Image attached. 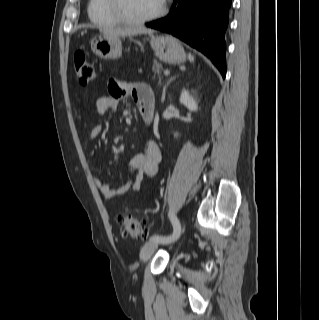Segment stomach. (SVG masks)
Listing matches in <instances>:
<instances>
[{
  "label": "stomach",
  "mask_w": 319,
  "mask_h": 320,
  "mask_svg": "<svg viewBox=\"0 0 319 320\" xmlns=\"http://www.w3.org/2000/svg\"><path fill=\"white\" fill-rule=\"evenodd\" d=\"M150 45L155 55L165 63L181 64L186 60L183 47L173 36H151ZM91 49L102 59H118L122 54L121 38L106 34L96 36L91 40Z\"/></svg>",
  "instance_id": "1"
}]
</instances>
